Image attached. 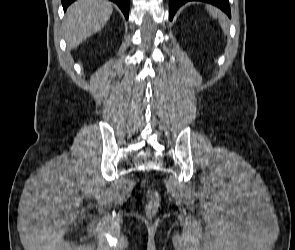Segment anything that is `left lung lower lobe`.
<instances>
[{
    "instance_id": "obj_1",
    "label": "left lung lower lobe",
    "mask_w": 295,
    "mask_h": 250,
    "mask_svg": "<svg viewBox=\"0 0 295 250\" xmlns=\"http://www.w3.org/2000/svg\"><path fill=\"white\" fill-rule=\"evenodd\" d=\"M194 1V0H169V19L172 20L177 9L186 2ZM202 2L211 3L220 9H222L229 17L230 14V6L228 0H197Z\"/></svg>"
}]
</instances>
